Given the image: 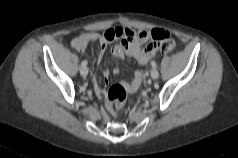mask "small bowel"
Masks as SVG:
<instances>
[{"label":"small bowel","instance_id":"small-bowel-1","mask_svg":"<svg viewBox=\"0 0 238 158\" xmlns=\"http://www.w3.org/2000/svg\"><path fill=\"white\" fill-rule=\"evenodd\" d=\"M169 35L162 29L153 30H132L129 28L117 27L108 29L103 33L84 32L75 37L71 41V46L79 52H84L87 47L94 42L100 45L98 59L102 60L106 54L107 48L111 41L120 40V43L111 48V54L118 59L124 58L126 55L134 58L139 64L148 63L157 51L160 49L159 42L162 36ZM150 41L146 46L143 44ZM118 70H116L117 72ZM103 82H99L97 78H93L94 89L99 97L105 96L104 87L107 83L109 72L102 71ZM143 78V73L137 70L133 79L128 83L130 91H135Z\"/></svg>","mask_w":238,"mask_h":158}]
</instances>
